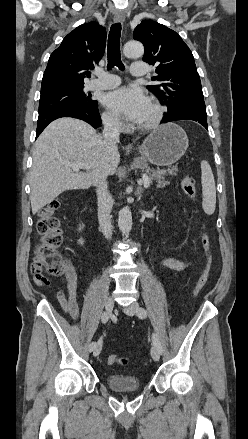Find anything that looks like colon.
Listing matches in <instances>:
<instances>
[{
	"label": "colon",
	"mask_w": 248,
	"mask_h": 439,
	"mask_svg": "<svg viewBox=\"0 0 248 439\" xmlns=\"http://www.w3.org/2000/svg\"><path fill=\"white\" fill-rule=\"evenodd\" d=\"M182 189L184 193L193 200L196 194L195 179L189 175L184 176L182 179ZM59 206L60 201L54 199L39 211L37 230L41 239L35 250L34 262L39 266L44 277H46L45 274L53 277H61L65 271L62 256L58 252L59 247L63 243V233L60 222L55 216ZM201 241L206 252L207 263L194 288V296H197L205 287L211 266L210 241L205 232L202 234ZM107 362L109 364L119 363L126 365L128 359L111 354L107 357Z\"/></svg>",
	"instance_id": "1"
}]
</instances>
